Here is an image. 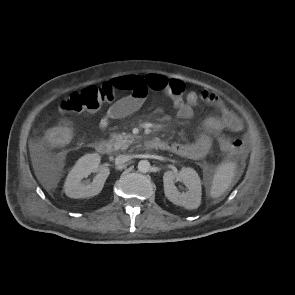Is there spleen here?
<instances>
[{"mask_svg": "<svg viewBox=\"0 0 295 295\" xmlns=\"http://www.w3.org/2000/svg\"><path fill=\"white\" fill-rule=\"evenodd\" d=\"M235 172L236 164L233 162H224L217 167L210 189L212 198L220 197L229 188Z\"/></svg>", "mask_w": 295, "mask_h": 295, "instance_id": "1", "label": "spleen"}]
</instances>
